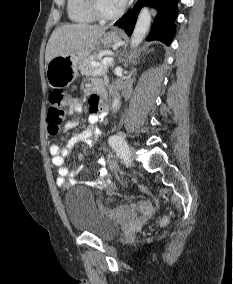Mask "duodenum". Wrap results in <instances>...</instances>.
<instances>
[{
  "mask_svg": "<svg viewBox=\"0 0 233 284\" xmlns=\"http://www.w3.org/2000/svg\"><path fill=\"white\" fill-rule=\"evenodd\" d=\"M96 98L99 100L103 97V90L101 88L97 89Z\"/></svg>",
  "mask_w": 233,
  "mask_h": 284,
  "instance_id": "1",
  "label": "duodenum"
}]
</instances>
